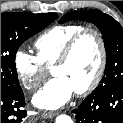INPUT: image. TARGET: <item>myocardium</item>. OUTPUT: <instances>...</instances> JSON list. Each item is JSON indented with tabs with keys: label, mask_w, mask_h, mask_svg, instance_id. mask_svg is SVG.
Here are the masks:
<instances>
[{
	"label": "myocardium",
	"mask_w": 123,
	"mask_h": 123,
	"mask_svg": "<svg viewBox=\"0 0 123 123\" xmlns=\"http://www.w3.org/2000/svg\"><path fill=\"white\" fill-rule=\"evenodd\" d=\"M86 35H93L99 46V63L97 70L90 80V82L83 88L76 90L75 93L77 95L83 96L90 92H92L100 83L102 80V77L104 75L106 65H107V49H106V43L105 40L101 34V32L95 28L87 27L79 32H77L75 35H73L69 41L66 43L60 57L58 60L54 63L52 67V71L59 66L65 65L71 58L76 46L80 42L82 38H84Z\"/></svg>",
	"instance_id": "1"
}]
</instances>
